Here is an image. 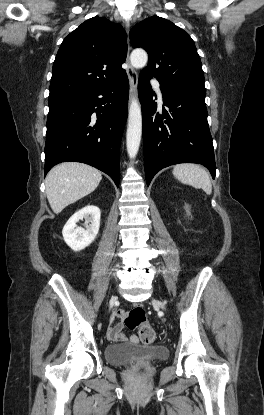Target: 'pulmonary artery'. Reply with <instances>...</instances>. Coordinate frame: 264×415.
Wrapping results in <instances>:
<instances>
[{
    "label": "pulmonary artery",
    "instance_id": "pulmonary-artery-1",
    "mask_svg": "<svg viewBox=\"0 0 264 415\" xmlns=\"http://www.w3.org/2000/svg\"><path fill=\"white\" fill-rule=\"evenodd\" d=\"M154 87H155V89L157 90V92H158L159 94H161V90H160L159 84H158L156 81H154Z\"/></svg>",
    "mask_w": 264,
    "mask_h": 415
}]
</instances>
